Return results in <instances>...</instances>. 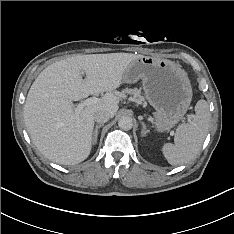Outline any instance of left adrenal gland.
I'll use <instances>...</instances> for the list:
<instances>
[{
    "instance_id": "1",
    "label": "left adrenal gland",
    "mask_w": 234,
    "mask_h": 234,
    "mask_svg": "<svg viewBox=\"0 0 234 234\" xmlns=\"http://www.w3.org/2000/svg\"><path fill=\"white\" fill-rule=\"evenodd\" d=\"M141 124H142L141 134H142V136H146V134L149 132V130L146 128V125L144 122H141Z\"/></svg>"
}]
</instances>
